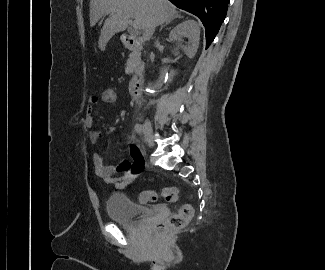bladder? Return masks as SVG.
I'll use <instances>...</instances> for the list:
<instances>
[{"instance_id": "bladder-1", "label": "bladder", "mask_w": 325, "mask_h": 270, "mask_svg": "<svg viewBox=\"0 0 325 270\" xmlns=\"http://www.w3.org/2000/svg\"><path fill=\"white\" fill-rule=\"evenodd\" d=\"M106 210L110 220L129 228L138 227L151 215L150 209L135 203L123 193L110 195Z\"/></svg>"}]
</instances>
